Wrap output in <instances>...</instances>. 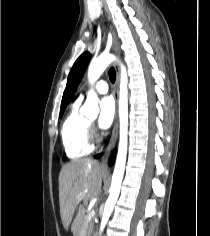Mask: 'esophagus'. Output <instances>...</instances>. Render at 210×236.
Instances as JSON below:
<instances>
[{"label":"esophagus","mask_w":210,"mask_h":236,"mask_svg":"<svg viewBox=\"0 0 210 236\" xmlns=\"http://www.w3.org/2000/svg\"><path fill=\"white\" fill-rule=\"evenodd\" d=\"M110 30L112 32L113 35V45H112V51L115 54V56L117 58L120 57V48H119V43L118 40L116 38L115 32L113 30V28L110 26ZM119 80H120V73H119V69L116 67V88H115V102H116V108H115V117H114V122H113V130H112V134H111V138L109 141V144L105 150V156L102 160L101 166L103 168H107V159L111 153V151L113 150V148L116 145V141L118 138V126H119V117H118V91H119Z\"/></svg>","instance_id":"obj_1"}]
</instances>
